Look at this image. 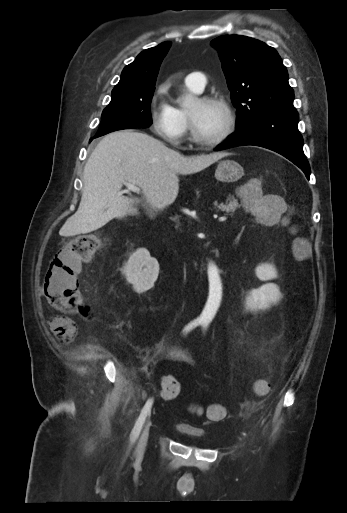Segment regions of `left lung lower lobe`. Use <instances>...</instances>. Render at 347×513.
<instances>
[{
  "mask_svg": "<svg viewBox=\"0 0 347 513\" xmlns=\"http://www.w3.org/2000/svg\"><path fill=\"white\" fill-rule=\"evenodd\" d=\"M299 115L294 112H272L253 119L237 129L215 150L254 145L275 151L297 165L309 179L310 166L303 152V138L299 133Z\"/></svg>",
  "mask_w": 347,
  "mask_h": 513,
  "instance_id": "1",
  "label": "left lung lower lobe"
}]
</instances>
